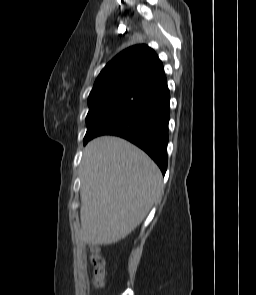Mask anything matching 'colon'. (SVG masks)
Segmentation results:
<instances>
[{"mask_svg":"<svg viewBox=\"0 0 256 295\" xmlns=\"http://www.w3.org/2000/svg\"><path fill=\"white\" fill-rule=\"evenodd\" d=\"M90 265L93 270L95 287L102 288L104 283V260L95 248L91 251Z\"/></svg>","mask_w":256,"mask_h":295,"instance_id":"colon-1","label":"colon"}]
</instances>
